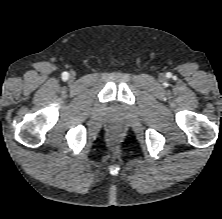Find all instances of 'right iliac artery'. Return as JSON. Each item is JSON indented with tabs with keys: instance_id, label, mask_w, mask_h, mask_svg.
Wrapping results in <instances>:
<instances>
[{
	"instance_id": "obj_1",
	"label": "right iliac artery",
	"mask_w": 222,
	"mask_h": 219,
	"mask_svg": "<svg viewBox=\"0 0 222 219\" xmlns=\"http://www.w3.org/2000/svg\"><path fill=\"white\" fill-rule=\"evenodd\" d=\"M68 76H69V74H68L67 72H64V73L62 74L63 79H67Z\"/></svg>"
}]
</instances>
